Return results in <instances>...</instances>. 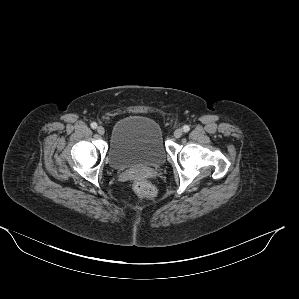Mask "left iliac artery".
I'll use <instances>...</instances> for the list:
<instances>
[{"label": "left iliac artery", "instance_id": "1", "mask_svg": "<svg viewBox=\"0 0 299 299\" xmlns=\"http://www.w3.org/2000/svg\"><path fill=\"white\" fill-rule=\"evenodd\" d=\"M190 130V127L188 125L183 126V131L188 132Z\"/></svg>", "mask_w": 299, "mask_h": 299}]
</instances>
